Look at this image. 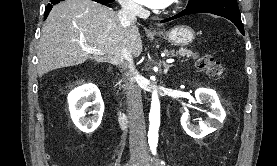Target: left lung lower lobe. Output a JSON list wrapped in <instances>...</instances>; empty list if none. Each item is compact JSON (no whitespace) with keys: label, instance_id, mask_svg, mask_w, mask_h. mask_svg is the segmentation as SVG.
I'll return each instance as SVG.
<instances>
[{"label":"left lung lower lobe","instance_id":"left-lung-lower-lobe-1","mask_svg":"<svg viewBox=\"0 0 277 166\" xmlns=\"http://www.w3.org/2000/svg\"><path fill=\"white\" fill-rule=\"evenodd\" d=\"M195 13H211L218 16H222L224 18L229 19L232 21L240 30V32L244 35V28L241 21V15L238 9V5L236 1H229V0H211L194 7L186 8L185 10L181 11L177 15L164 19L161 22H168L174 20L176 18L195 14Z\"/></svg>","mask_w":277,"mask_h":166}]
</instances>
